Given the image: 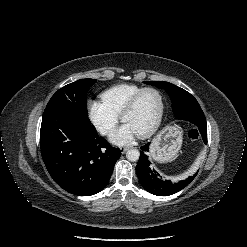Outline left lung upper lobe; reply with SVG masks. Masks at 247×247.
Instances as JSON below:
<instances>
[{
  "label": "left lung upper lobe",
  "mask_w": 247,
  "mask_h": 247,
  "mask_svg": "<svg viewBox=\"0 0 247 247\" xmlns=\"http://www.w3.org/2000/svg\"><path fill=\"white\" fill-rule=\"evenodd\" d=\"M146 84L164 89L171 98L173 112L177 119L184 120L195 126L204 121L205 115L197 100L186 90L163 81H146Z\"/></svg>",
  "instance_id": "1"
}]
</instances>
